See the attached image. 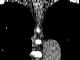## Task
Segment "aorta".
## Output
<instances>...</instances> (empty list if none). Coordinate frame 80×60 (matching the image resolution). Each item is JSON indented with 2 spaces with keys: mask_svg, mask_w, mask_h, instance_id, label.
Masks as SVG:
<instances>
[{
  "mask_svg": "<svg viewBox=\"0 0 80 60\" xmlns=\"http://www.w3.org/2000/svg\"><path fill=\"white\" fill-rule=\"evenodd\" d=\"M45 48L48 51H52V52L56 53L57 55L60 54V45L56 40H48L45 43Z\"/></svg>",
  "mask_w": 80,
  "mask_h": 60,
  "instance_id": "762f6f07",
  "label": "aorta"
}]
</instances>
